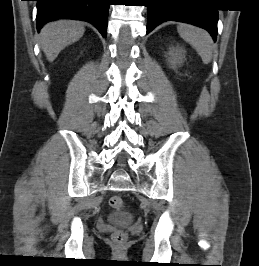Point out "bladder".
Wrapping results in <instances>:
<instances>
[{
    "label": "bladder",
    "mask_w": 259,
    "mask_h": 266,
    "mask_svg": "<svg viewBox=\"0 0 259 266\" xmlns=\"http://www.w3.org/2000/svg\"><path fill=\"white\" fill-rule=\"evenodd\" d=\"M111 220L116 223H127L131 220V216L124 212H117L113 214Z\"/></svg>",
    "instance_id": "31cf9c89"
}]
</instances>
